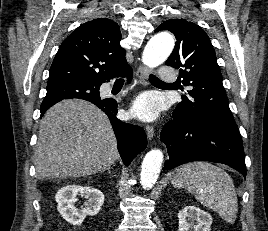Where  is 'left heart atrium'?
Masks as SVG:
<instances>
[{
	"label": "left heart atrium",
	"mask_w": 268,
	"mask_h": 231,
	"mask_svg": "<svg viewBox=\"0 0 268 231\" xmlns=\"http://www.w3.org/2000/svg\"><path fill=\"white\" fill-rule=\"evenodd\" d=\"M129 116L142 121H151L158 116L155 97L149 93L138 96L129 111Z\"/></svg>",
	"instance_id": "39dd6f15"
}]
</instances>
